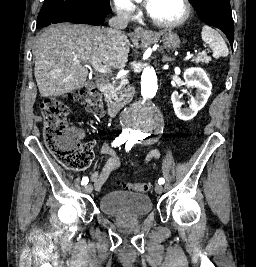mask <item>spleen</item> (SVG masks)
<instances>
[{
  "label": "spleen",
  "mask_w": 256,
  "mask_h": 267,
  "mask_svg": "<svg viewBox=\"0 0 256 267\" xmlns=\"http://www.w3.org/2000/svg\"><path fill=\"white\" fill-rule=\"evenodd\" d=\"M201 36L203 42L213 50L214 58H221V56L226 58L228 56L229 50L219 32L210 28V26H203Z\"/></svg>",
  "instance_id": "1"
}]
</instances>
